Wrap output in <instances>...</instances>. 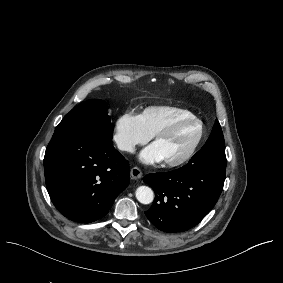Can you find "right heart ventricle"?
<instances>
[{
    "label": "right heart ventricle",
    "instance_id": "obj_1",
    "mask_svg": "<svg viewBox=\"0 0 283 283\" xmlns=\"http://www.w3.org/2000/svg\"><path fill=\"white\" fill-rule=\"evenodd\" d=\"M186 115L193 114L188 110L178 107L152 106L145 109L141 117L150 134L156 135L176 119Z\"/></svg>",
    "mask_w": 283,
    "mask_h": 283
}]
</instances>
